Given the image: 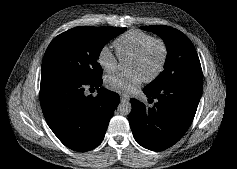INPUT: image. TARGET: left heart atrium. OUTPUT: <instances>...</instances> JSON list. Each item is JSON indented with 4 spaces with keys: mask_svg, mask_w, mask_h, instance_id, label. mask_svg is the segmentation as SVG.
I'll return each instance as SVG.
<instances>
[{
    "mask_svg": "<svg viewBox=\"0 0 237 169\" xmlns=\"http://www.w3.org/2000/svg\"><path fill=\"white\" fill-rule=\"evenodd\" d=\"M143 81L136 71L115 73L105 79L106 87L112 91L129 94L132 93Z\"/></svg>",
    "mask_w": 237,
    "mask_h": 169,
    "instance_id": "left-heart-atrium-1",
    "label": "left heart atrium"
}]
</instances>
